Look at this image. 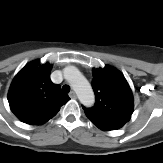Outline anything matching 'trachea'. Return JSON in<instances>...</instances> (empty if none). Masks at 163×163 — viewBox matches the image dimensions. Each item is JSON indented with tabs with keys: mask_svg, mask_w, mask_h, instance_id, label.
<instances>
[{
	"mask_svg": "<svg viewBox=\"0 0 163 163\" xmlns=\"http://www.w3.org/2000/svg\"><path fill=\"white\" fill-rule=\"evenodd\" d=\"M62 91L65 92V93H69L70 92V87L68 85H64L62 87Z\"/></svg>",
	"mask_w": 163,
	"mask_h": 163,
	"instance_id": "trachea-1",
	"label": "trachea"
}]
</instances>
